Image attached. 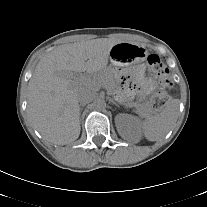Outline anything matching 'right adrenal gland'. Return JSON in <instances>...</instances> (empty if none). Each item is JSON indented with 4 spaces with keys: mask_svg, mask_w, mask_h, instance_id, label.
I'll list each match as a JSON object with an SVG mask.
<instances>
[{
    "mask_svg": "<svg viewBox=\"0 0 207 207\" xmlns=\"http://www.w3.org/2000/svg\"><path fill=\"white\" fill-rule=\"evenodd\" d=\"M84 106H85V104L80 105V112H82V109H83Z\"/></svg>",
    "mask_w": 207,
    "mask_h": 207,
    "instance_id": "obj_1",
    "label": "right adrenal gland"
}]
</instances>
